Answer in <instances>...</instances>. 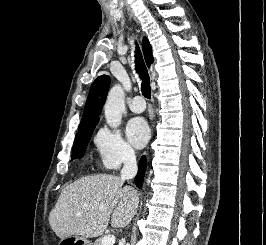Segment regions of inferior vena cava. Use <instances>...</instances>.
I'll list each match as a JSON object with an SVG mask.
<instances>
[{"instance_id": "602c4592", "label": "inferior vena cava", "mask_w": 266, "mask_h": 245, "mask_svg": "<svg viewBox=\"0 0 266 245\" xmlns=\"http://www.w3.org/2000/svg\"><path fill=\"white\" fill-rule=\"evenodd\" d=\"M137 171L138 167L135 153L134 151H129L124 159V167L120 175L122 181H126V179H134L137 175Z\"/></svg>"}]
</instances>
